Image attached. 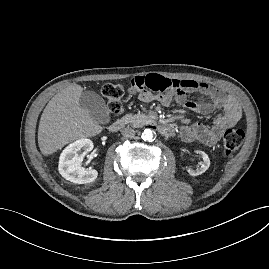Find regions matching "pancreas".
<instances>
[{"instance_id":"cf45deb5","label":"pancreas","mask_w":269,"mask_h":269,"mask_svg":"<svg viewBox=\"0 0 269 269\" xmlns=\"http://www.w3.org/2000/svg\"><path fill=\"white\" fill-rule=\"evenodd\" d=\"M121 120L124 124H129L133 127H142L148 122L149 117L144 113H137L135 115L127 114Z\"/></svg>"}]
</instances>
